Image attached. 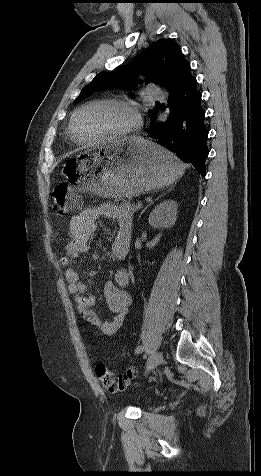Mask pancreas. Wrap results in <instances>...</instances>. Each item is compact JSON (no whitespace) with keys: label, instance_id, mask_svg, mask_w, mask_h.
I'll list each match as a JSON object with an SVG mask.
<instances>
[{"label":"pancreas","instance_id":"1","mask_svg":"<svg viewBox=\"0 0 261 476\" xmlns=\"http://www.w3.org/2000/svg\"><path fill=\"white\" fill-rule=\"evenodd\" d=\"M120 207L124 212L131 215H133L139 209L137 204L131 203L130 200H123Z\"/></svg>","mask_w":261,"mask_h":476}]
</instances>
